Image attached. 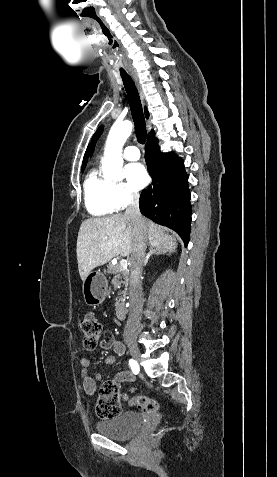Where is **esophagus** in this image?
I'll list each match as a JSON object with an SVG mask.
<instances>
[{"mask_svg": "<svg viewBox=\"0 0 277 477\" xmlns=\"http://www.w3.org/2000/svg\"><path fill=\"white\" fill-rule=\"evenodd\" d=\"M131 76L134 80V83L136 85V88L138 90V93L140 95V99L142 101V104L144 105L145 104V96H144V92H143V89H142V86H141V83H140V80H139V77H138V74L135 72V71H131Z\"/></svg>", "mask_w": 277, "mask_h": 477, "instance_id": "34e87169", "label": "esophagus"}]
</instances>
